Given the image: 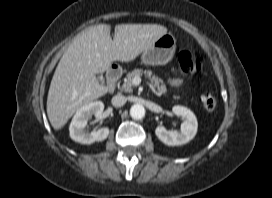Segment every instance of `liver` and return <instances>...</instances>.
I'll use <instances>...</instances> for the list:
<instances>
[{
  "instance_id": "1",
  "label": "liver",
  "mask_w": 272,
  "mask_h": 198,
  "mask_svg": "<svg viewBox=\"0 0 272 198\" xmlns=\"http://www.w3.org/2000/svg\"><path fill=\"white\" fill-rule=\"evenodd\" d=\"M110 29L107 24L90 27L61 57L47 97V115L55 130L82 106L109 91L96 74L105 72L113 61H133L167 34V28L157 24H119L112 39Z\"/></svg>"
}]
</instances>
